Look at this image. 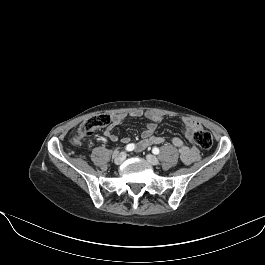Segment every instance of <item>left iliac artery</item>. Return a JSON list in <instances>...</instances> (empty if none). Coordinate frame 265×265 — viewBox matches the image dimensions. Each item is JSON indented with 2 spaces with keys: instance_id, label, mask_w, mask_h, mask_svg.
I'll list each match as a JSON object with an SVG mask.
<instances>
[{
  "instance_id": "1",
  "label": "left iliac artery",
  "mask_w": 265,
  "mask_h": 265,
  "mask_svg": "<svg viewBox=\"0 0 265 265\" xmlns=\"http://www.w3.org/2000/svg\"><path fill=\"white\" fill-rule=\"evenodd\" d=\"M152 152L154 153V154H159V152H160V150H159V148H157V147H154L153 149H152Z\"/></svg>"
}]
</instances>
